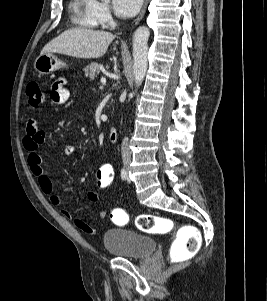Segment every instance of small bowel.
Returning a JSON list of instances; mask_svg holds the SVG:
<instances>
[{
    "mask_svg": "<svg viewBox=\"0 0 267 301\" xmlns=\"http://www.w3.org/2000/svg\"><path fill=\"white\" fill-rule=\"evenodd\" d=\"M70 92L67 88V81L64 78L57 79L52 84V89L50 92V101L54 105H62L69 99ZM44 133L38 128L37 121L34 118H30L26 122V133L23 137V147L28 154V165L31 173L37 177L40 189L44 194H46L51 203L54 205L61 204V197L56 193L54 184L49 176L44 172L42 167V158L39 154V147L44 142ZM76 146L74 144H68L64 147V154L66 156H71L74 154ZM87 199L90 202H97L99 200V193L97 191H89L87 193ZM62 214L66 217H70L71 214L68 210L63 209ZM100 218L106 217L105 211L99 212ZM76 225L83 232L88 234H96L97 230L92 226L86 224L82 220H76Z\"/></svg>",
    "mask_w": 267,
    "mask_h": 301,
    "instance_id": "small-bowel-1",
    "label": "small bowel"
}]
</instances>
